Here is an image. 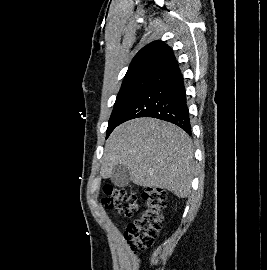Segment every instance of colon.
Wrapping results in <instances>:
<instances>
[{"instance_id": "colon-1", "label": "colon", "mask_w": 267, "mask_h": 270, "mask_svg": "<svg viewBox=\"0 0 267 270\" xmlns=\"http://www.w3.org/2000/svg\"><path fill=\"white\" fill-rule=\"evenodd\" d=\"M102 204L116 214L129 215L139 209L136 219L125 227L124 237L133 252L150 247L162 227L163 213L166 204V192L161 188H147L142 193L140 208L139 196L135 192L104 187Z\"/></svg>"}]
</instances>
